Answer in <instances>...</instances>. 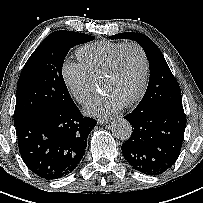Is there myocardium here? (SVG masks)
<instances>
[{"label":"myocardium","mask_w":203,"mask_h":203,"mask_svg":"<svg viewBox=\"0 0 203 203\" xmlns=\"http://www.w3.org/2000/svg\"><path fill=\"white\" fill-rule=\"evenodd\" d=\"M131 47L137 49L141 54L143 60V76L137 92L133 97H131L129 100L123 103L124 106H131L137 101H139L144 95V92L146 90L149 80L150 64L145 49L137 42L124 43L112 56V58L110 59V61L108 62V64L106 65V67L104 68L99 77V85H101L102 81L107 77H109L115 71L123 52Z\"/></svg>","instance_id":"obj_1"}]
</instances>
